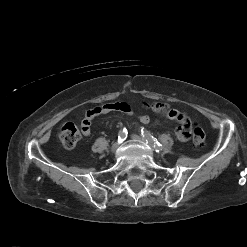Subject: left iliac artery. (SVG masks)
Masks as SVG:
<instances>
[{"instance_id":"1","label":"left iliac artery","mask_w":247,"mask_h":247,"mask_svg":"<svg viewBox=\"0 0 247 247\" xmlns=\"http://www.w3.org/2000/svg\"><path fill=\"white\" fill-rule=\"evenodd\" d=\"M141 135L145 138L146 142L154 148L156 152H159L162 150V145L157 141L156 138L151 136L147 130L144 128L141 129Z\"/></svg>"}]
</instances>
